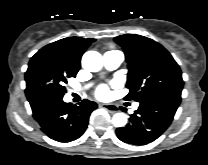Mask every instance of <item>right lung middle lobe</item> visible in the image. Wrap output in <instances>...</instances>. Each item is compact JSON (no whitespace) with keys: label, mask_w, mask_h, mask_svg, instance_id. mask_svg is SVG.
I'll list each match as a JSON object with an SVG mask.
<instances>
[{"label":"right lung middle lobe","mask_w":208,"mask_h":165,"mask_svg":"<svg viewBox=\"0 0 208 165\" xmlns=\"http://www.w3.org/2000/svg\"><path fill=\"white\" fill-rule=\"evenodd\" d=\"M78 71L58 54L39 50L31 58L25 73V93L32 109L46 101L63 98L66 93L63 84Z\"/></svg>","instance_id":"obj_1"}]
</instances>
